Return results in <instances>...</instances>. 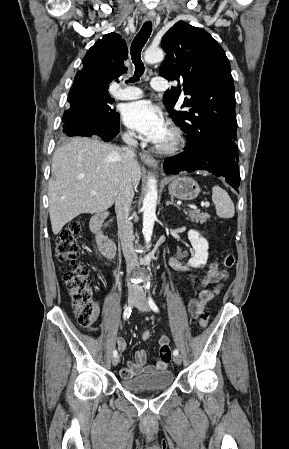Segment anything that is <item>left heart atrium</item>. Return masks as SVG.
Instances as JSON below:
<instances>
[{"mask_svg":"<svg viewBox=\"0 0 289 449\" xmlns=\"http://www.w3.org/2000/svg\"><path fill=\"white\" fill-rule=\"evenodd\" d=\"M123 121L149 142L159 143L167 132L161 112L147 100L128 103L123 109Z\"/></svg>","mask_w":289,"mask_h":449,"instance_id":"1","label":"left heart atrium"}]
</instances>
